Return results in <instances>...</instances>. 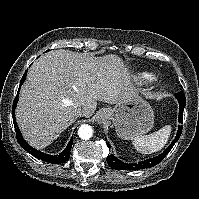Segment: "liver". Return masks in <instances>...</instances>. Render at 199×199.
I'll return each instance as SVG.
<instances>
[{
	"mask_svg": "<svg viewBox=\"0 0 199 199\" xmlns=\"http://www.w3.org/2000/svg\"><path fill=\"white\" fill-rule=\"evenodd\" d=\"M132 94L130 73L117 56L55 50L29 69L16 119L25 140L42 149L78 119V107L91 117L97 101L116 104Z\"/></svg>",
	"mask_w": 199,
	"mask_h": 199,
	"instance_id": "liver-1",
	"label": "liver"
}]
</instances>
